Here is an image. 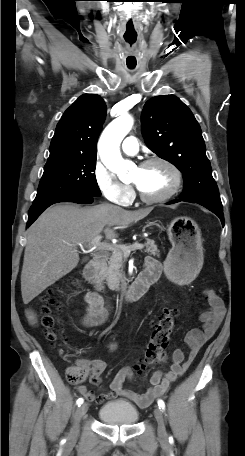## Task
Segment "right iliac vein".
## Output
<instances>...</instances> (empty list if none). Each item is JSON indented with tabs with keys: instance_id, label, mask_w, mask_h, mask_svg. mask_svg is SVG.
<instances>
[{
	"instance_id": "63e3f726",
	"label": "right iliac vein",
	"mask_w": 245,
	"mask_h": 456,
	"mask_svg": "<svg viewBox=\"0 0 245 456\" xmlns=\"http://www.w3.org/2000/svg\"><path fill=\"white\" fill-rule=\"evenodd\" d=\"M88 408H89V405L87 403L82 404V405H80L77 408L76 414H75L74 426H73V428L71 430V438L72 439H75L78 436L79 422L82 419V417L86 414V412L88 411Z\"/></svg>"
}]
</instances>
